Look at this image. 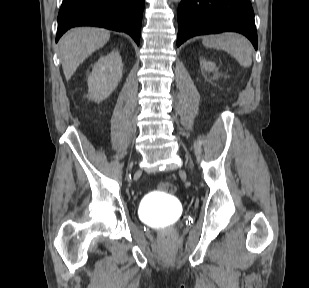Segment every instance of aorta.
<instances>
[{
    "instance_id": "762f6f07",
    "label": "aorta",
    "mask_w": 309,
    "mask_h": 288,
    "mask_svg": "<svg viewBox=\"0 0 309 288\" xmlns=\"http://www.w3.org/2000/svg\"><path fill=\"white\" fill-rule=\"evenodd\" d=\"M172 1L178 2L179 0H172Z\"/></svg>"
}]
</instances>
